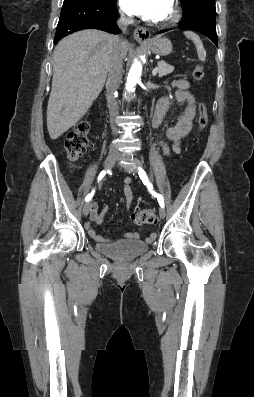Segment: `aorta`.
I'll return each instance as SVG.
<instances>
[{
  "mask_svg": "<svg viewBox=\"0 0 254 397\" xmlns=\"http://www.w3.org/2000/svg\"><path fill=\"white\" fill-rule=\"evenodd\" d=\"M141 73H142V65L140 62L135 61L132 64L127 77L126 90L128 92L134 91L135 85L139 81Z\"/></svg>",
  "mask_w": 254,
  "mask_h": 397,
  "instance_id": "aorta-1",
  "label": "aorta"
}]
</instances>
